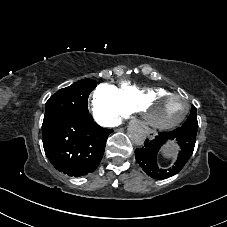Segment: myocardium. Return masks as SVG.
Wrapping results in <instances>:
<instances>
[{
  "mask_svg": "<svg viewBox=\"0 0 227 227\" xmlns=\"http://www.w3.org/2000/svg\"><path fill=\"white\" fill-rule=\"evenodd\" d=\"M164 97H181L185 101V107L182 115L178 117L177 119L166 123L165 125L163 123L156 122L152 119V117L149 114V109L150 107L155 104L156 102L160 101ZM190 110V103H189V98L187 95L180 93V92H164L161 94H155L150 97H148L141 105L139 112H140V117L143 123L153 129H162V128H174L178 124H180L188 115Z\"/></svg>",
  "mask_w": 227,
  "mask_h": 227,
  "instance_id": "obj_1",
  "label": "myocardium"
}]
</instances>
